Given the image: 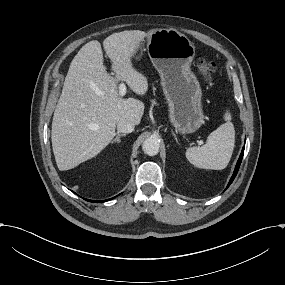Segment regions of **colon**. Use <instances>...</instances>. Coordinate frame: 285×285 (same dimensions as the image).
<instances>
[{"label": "colon", "instance_id": "colon-1", "mask_svg": "<svg viewBox=\"0 0 285 285\" xmlns=\"http://www.w3.org/2000/svg\"><path fill=\"white\" fill-rule=\"evenodd\" d=\"M197 70L199 75L205 80L209 81L216 70V65L206 59H200L197 62Z\"/></svg>", "mask_w": 285, "mask_h": 285}]
</instances>
